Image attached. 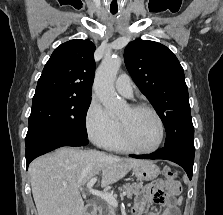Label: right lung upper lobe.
I'll use <instances>...</instances> for the list:
<instances>
[{
  "instance_id": "obj_1",
  "label": "right lung upper lobe",
  "mask_w": 223,
  "mask_h": 215,
  "mask_svg": "<svg viewBox=\"0 0 223 215\" xmlns=\"http://www.w3.org/2000/svg\"><path fill=\"white\" fill-rule=\"evenodd\" d=\"M94 50L91 41L80 39L70 40L57 47L43 69L35 95L91 98L95 70Z\"/></svg>"
}]
</instances>
